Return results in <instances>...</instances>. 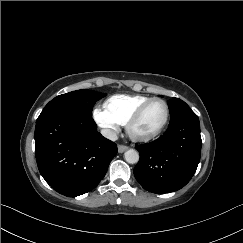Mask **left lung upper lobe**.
<instances>
[{"label":"left lung upper lobe","instance_id":"obj_1","mask_svg":"<svg viewBox=\"0 0 243 243\" xmlns=\"http://www.w3.org/2000/svg\"><path fill=\"white\" fill-rule=\"evenodd\" d=\"M168 105L171 113L170 124L181 117L195 115V113L189 108V106L181 99L174 97L168 100Z\"/></svg>","mask_w":243,"mask_h":243}]
</instances>
